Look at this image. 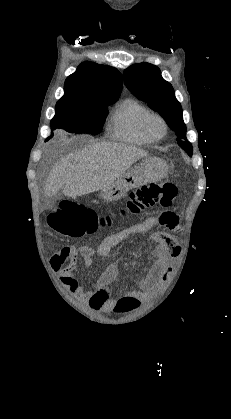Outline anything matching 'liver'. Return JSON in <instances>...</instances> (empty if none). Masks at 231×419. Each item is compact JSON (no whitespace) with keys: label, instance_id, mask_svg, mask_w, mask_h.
<instances>
[{"label":"liver","instance_id":"1","mask_svg":"<svg viewBox=\"0 0 231 419\" xmlns=\"http://www.w3.org/2000/svg\"><path fill=\"white\" fill-rule=\"evenodd\" d=\"M148 152L135 146L114 142L92 143L62 158L49 173L44 187L48 197L62 190L76 198L113 184Z\"/></svg>","mask_w":231,"mask_h":419}]
</instances>
